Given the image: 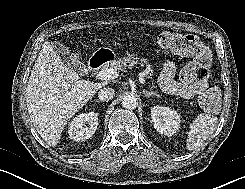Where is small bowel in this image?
I'll list each match as a JSON object with an SVG mask.
<instances>
[{
	"instance_id": "1",
	"label": "small bowel",
	"mask_w": 245,
	"mask_h": 189,
	"mask_svg": "<svg viewBox=\"0 0 245 189\" xmlns=\"http://www.w3.org/2000/svg\"><path fill=\"white\" fill-rule=\"evenodd\" d=\"M174 74V64L171 62H165L161 67L158 84L166 93L178 95L185 99H191L202 94L208 88L206 80L200 81L194 85H182L173 80Z\"/></svg>"
}]
</instances>
